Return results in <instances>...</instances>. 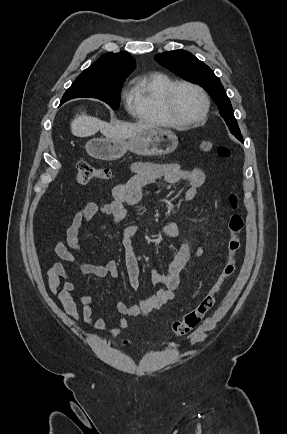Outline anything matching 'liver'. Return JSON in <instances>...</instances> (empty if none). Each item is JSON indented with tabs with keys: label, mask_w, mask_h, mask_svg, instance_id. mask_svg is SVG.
I'll use <instances>...</instances> for the list:
<instances>
[{
	"label": "liver",
	"mask_w": 287,
	"mask_h": 434,
	"mask_svg": "<svg viewBox=\"0 0 287 434\" xmlns=\"http://www.w3.org/2000/svg\"><path fill=\"white\" fill-rule=\"evenodd\" d=\"M151 127L153 126L144 122L111 125L85 113L76 115L71 121V132L77 137H89L100 131L108 139H128Z\"/></svg>",
	"instance_id": "1"
}]
</instances>
